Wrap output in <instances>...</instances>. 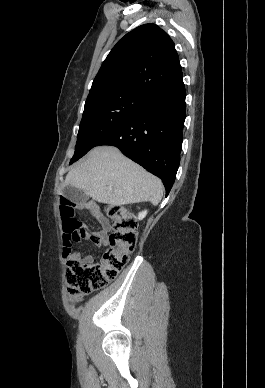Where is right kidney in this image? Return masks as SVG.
<instances>
[{
  "mask_svg": "<svg viewBox=\"0 0 265 388\" xmlns=\"http://www.w3.org/2000/svg\"><path fill=\"white\" fill-rule=\"evenodd\" d=\"M147 212L145 210V212H140L139 216H138V220H143V218H145Z\"/></svg>",
  "mask_w": 265,
  "mask_h": 388,
  "instance_id": "right-kidney-1",
  "label": "right kidney"
}]
</instances>
